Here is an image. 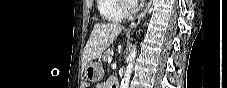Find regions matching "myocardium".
<instances>
[{
	"label": "myocardium",
	"mask_w": 227,
	"mask_h": 88,
	"mask_svg": "<svg viewBox=\"0 0 227 88\" xmlns=\"http://www.w3.org/2000/svg\"><path fill=\"white\" fill-rule=\"evenodd\" d=\"M120 9L125 15H131L137 11L135 5L132 4L130 0H122L120 3Z\"/></svg>",
	"instance_id": "obj_1"
}]
</instances>
